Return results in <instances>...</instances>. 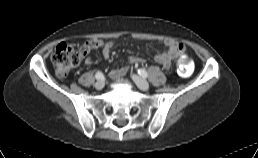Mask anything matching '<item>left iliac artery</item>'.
<instances>
[{"label":"left iliac artery","instance_id":"44dca946","mask_svg":"<svg viewBox=\"0 0 258 158\" xmlns=\"http://www.w3.org/2000/svg\"><path fill=\"white\" fill-rule=\"evenodd\" d=\"M137 72L143 78H147L148 77V73H147V71L145 69H138Z\"/></svg>","mask_w":258,"mask_h":158}]
</instances>
